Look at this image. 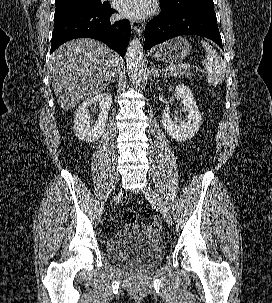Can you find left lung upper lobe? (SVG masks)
<instances>
[{
	"label": "left lung upper lobe",
	"instance_id": "obj_1",
	"mask_svg": "<svg viewBox=\"0 0 272 303\" xmlns=\"http://www.w3.org/2000/svg\"><path fill=\"white\" fill-rule=\"evenodd\" d=\"M161 7L169 14L187 10H214L213 0H160Z\"/></svg>",
	"mask_w": 272,
	"mask_h": 303
}]
</instances>
